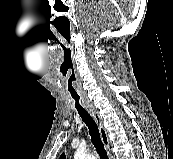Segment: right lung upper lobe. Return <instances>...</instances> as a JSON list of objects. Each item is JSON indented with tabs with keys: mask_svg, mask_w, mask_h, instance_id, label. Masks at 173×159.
Segmentation results:
<instances>
[{
	"mask_svg": "<svg viewBox=\"0 0 173 159\" xmlns=\"http://www.w3.org/2000/svg\"><path fill=\"white\" fill-rule=\"evenodd\" d=\"M60 159H66L64 153L60 156Z\"/></svg>",
	"mask_w": 173,
	"mask_h": 159,
	"instance_id": "right-lung-upper-lobe-1",
	"label": "right lung upper lobe"
}]
</instances>
